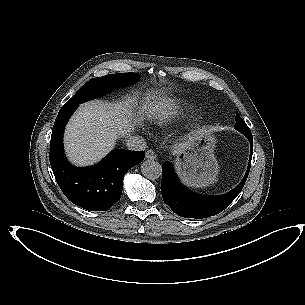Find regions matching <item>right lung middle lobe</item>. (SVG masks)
Segmentation results:
<instances>
[{
  "label": "right lung middle lobe",
  "mask_w": 305,
  "mask_h": 305,
  "mask_svg": "<svg viewBox=\"0 0 305 305\" xmlns=\"http://www.w3.org/2000/svg\"><path fill=\"white\" fill-rule=\"evenodd\" d=\"M136 73H119L109 74L103 77L89 80L66 104L65 106L73 107L81 103L99 97L114 87H126L136 81Z\"/></svg>",
  "instance_id": "obj_1"
}]
</instances>
